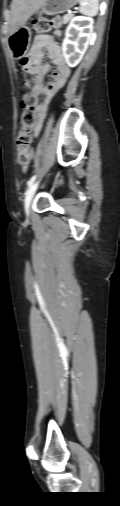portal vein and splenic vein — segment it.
I'll return each mask as SVG.
<instances>
[{
    "label": "portal vein and splenic vein",
    "mask_w": 120,
    "mask_h": 506,
    "mask_svg": "<svg viewBox=\"0 0 120 506\" xmlns=\"http://www.w3.org/2000/svg\"><path fill=\"white\" fill-rule=\"evenodd\" d=\"M68 13H69V14H71V13H72V11H68Z\"/></svg>",
    "instance_id": "portal-vein-and-splenic-vein-1"
}]
</instances>
